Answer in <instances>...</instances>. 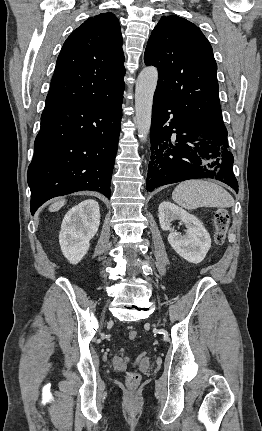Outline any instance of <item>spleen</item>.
<instances>
[{
  "label": "spleen",
  "instance_id": "spleen-1",
  "mask_svg": "<svg viewBox=\"0 0 262 431\" xmlns=\"http://www.w3.org/2000/svg\"><path fill=\"white\" fill-rule=\"evenodd\" d=\"M172 199L179 206L193 210L198 207L229 208L233 197L223 187L205 180H187L176 186Z\"/></svg>",
  "mask_w": 262,
  "mask_h": 431
}]
</instances>
